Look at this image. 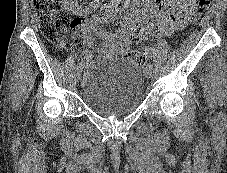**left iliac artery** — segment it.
<instances>
[{
  "instance_id": "1",
  "label": "left iliac artery",
  "mask_w": 227,
  "mask_h": 173,
  "mask_svg": "<svg viewBox=\"0 0 227 173\" xmlns=\"http://www.w3.org/2000/svg\"><path fill=\"white\" fill-rule=\"evenodd\" d=\"M145 66H147V67H149V68H151V69H152V67H153L152 64H151L150 62L146 63Z\"/></svg>"
}]
</instances>
